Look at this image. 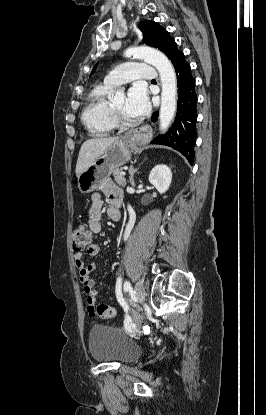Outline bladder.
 Instances as JSON below:
<instances>
[{
	"label": "bladder",
	"mask_w": 266,
	"mask_h": 415,
	"mask_svg": "<svg viewBox=\"0 0 266 415\" xmlns=\"http://www.w3.org/2000/svg\"><path fill=\"white\" fill-rule=\"evenodd\" d=\"M90 356L100 363L128 364L141 356L140 346L118 328L94 325L89 333Z\"/></svg>",
	"instance_id": "obj_1"
}]
</instances>
